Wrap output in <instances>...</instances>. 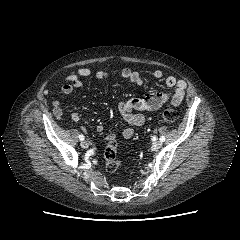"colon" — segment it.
Wrapping results in <instances>:
<instances>
[{
    "instance_id": "colon-1",
    "label": "colon",
    "mask_w": 240,
    "mask_h": 240,
    "mask_svg": "<svg viewBox=\"0 0 240 240\" xmlns=\"http://www.w3.org/2000/svg\"><path fill=\"white\" fill-rule=\"evenodd\" d=\"M178 113L175 109L168 107L162 113V119L166 123H173L176 121ZM104 158L106 162V169L110 173H117L121 169V160L117 157V142L115 139H107L104 148Z\"/></svg>"
}]
</instances>
